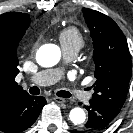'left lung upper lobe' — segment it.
<instances>
[{
	"label": "left lung upper lobe",
	"instance_id": "left-lung-upper-lobe-1",
	"mask_svg": "<svg viewBox=\"0 0 133 133\" xmlns=\"http://www.w3.org/2000/svg\"><path fill=\"white\" fill-rule=\"evenodd\" d=\"M85 21L93 40L94 76L92 99L121 109L132 74V61L126 38L118 25L108 16L83 8Z\"/></svg>",
	"mask_w": 133,
	"mask_h": 133
}]
</instances>
